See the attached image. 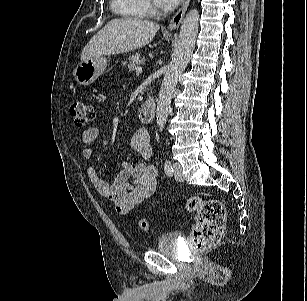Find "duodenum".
Instances as JSON below:
<instances>
[{"mask_svg": "<svg viewBox=\"0 0 307 301\" xmlns=\"http://www.w3.org/2000/svg\"><path fill=\"white\" fill-rule=\"evenodd\" d=\"M156 116V102L153 98H147L138 110V118L144 123H151Z\"/></svg>", "mask_w": 307, "mask_h": 301, "instance_id": "duodenum-1", "label": "duodenum"}]
</instances>
